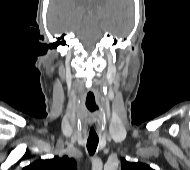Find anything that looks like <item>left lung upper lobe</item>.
<instances>
[{"instance_id":"obj_1","label":"left lung upper lobe","mask_w":190,"mask_h":170,"mask_svg":"<svg viewBox=\"0 0 190 170\" xmlns=\"http://www.w3.org/2000/svg\"><path fill=\"white\" fill-rule=\"evenodd\" d=\"M121 166V170H153L147 164L128 162L125 159L122 161Z\"/></svg>"}]
</instances>
